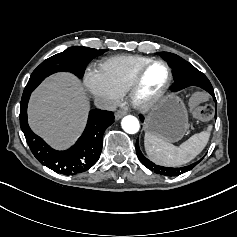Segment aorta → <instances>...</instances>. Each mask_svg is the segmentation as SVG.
Wrapping results in <instances>:
<instances>
[{
	"label": "aorta",
	"mask_w": 237,
	"mask_h": 237,
	"mask_svg": "<svg viewBox=\"0 0 237 237\" xmlns=\"http://www.w3.org/2000/svg\"><path fill=\"white\" fill-rule=\"evenodd\" d=\"M121 125L123 130L131 135L138 133L140 130L139 120L134 116H126Z\"/></svg>",
	"instance_id": "1"
}]
</instances>
